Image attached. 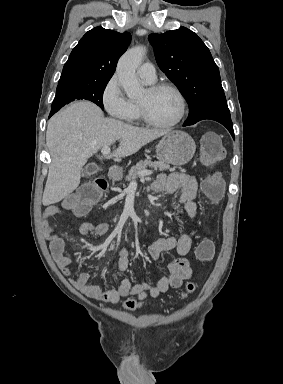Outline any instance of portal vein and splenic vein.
Listing matches in <instances>:
<instances>
[{
	"instance_id": "18ae733b",
	"label": "portal vein and splenic vein",
	"mask_w": 283,
	"mask_h": 384,
	"mask_svg": "<svg viewBox=\"0 0 283 384\" xmlns=\"http://www.w3.org/2000/svg\"><path fill=\"white\" fill-rule=\"evenodd\" d=\"M101 152L102 154H110L111 150L107 146V148H102ZM150 174H153V172H150V170H144V172H140L139 176H142L143 178V176H150Z\"/></svg>"
}]
</instances>
